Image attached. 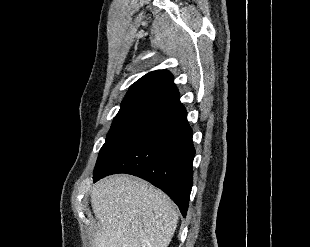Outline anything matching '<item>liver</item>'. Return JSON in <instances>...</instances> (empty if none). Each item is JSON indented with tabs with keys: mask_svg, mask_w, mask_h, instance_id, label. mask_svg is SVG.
Returning a JSON list of instances; mask_svg holds the SVG:
<instances>
[{
	"mask_svg": "<svg viewBox=\"0 0 310 247\" xmlns=\"http://www.w3.org/2000/svg\"><path fill=\"white\" fill-rule=\"evenodd\" d=\"M91 204L98 220L93 247H168L178 223L165 193L130 176L97 182Z\"/></svg>",
	"mask_w": 310,
	"mask_h": 247,
	"instance_id": "1",
	"label": "liver"
}]
</instances>
